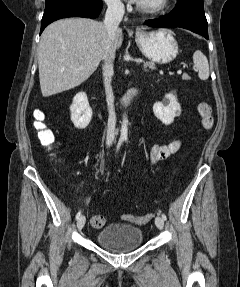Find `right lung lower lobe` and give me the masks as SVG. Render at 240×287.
<instances>
[{"instance_id":"1","label":"right lung lower lobe","mask_w":240,"mask_h":287,"mask_svg":"<svg viewBox=\"0 0 240 287\" xmlns=\"http://www.w3.org/2000/svg\"><path fill=\"white\" fill-rule=\"evenodd\" d=\"M102 6L101 0H46L40 34L47 25L61 18H96L100 14Z\"/></svg>"}]
</instances>
